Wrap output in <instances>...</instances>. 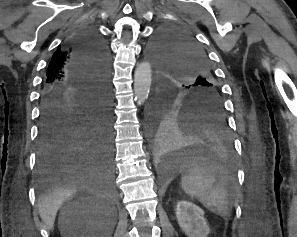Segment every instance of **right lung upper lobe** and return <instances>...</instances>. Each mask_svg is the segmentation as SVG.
Segmentation results:
<instances>
[{
	"label": "right lung upper lobe",
	"instance_id": "obj_1",
	"mask_svg": "<svg viewBox=\"0 0 297 237\" xmlns=\"http://www.w3.org/2000/svg\"><path fill=\"white\" fill-rule=\"evenodd\" d=\"M72 49L65 43L62 48H58L54 53L47 70V79L44 89H49L56 85L79 86L73 79L71 73Z\"/></svg>",
	"mask_w": 297,
	"mask_h": 237
}]
</instances>
